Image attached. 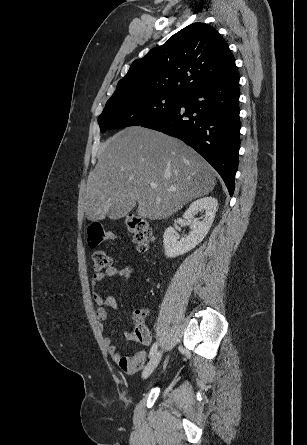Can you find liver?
<instances>
[{"label":"liver","instance_id":"liver-1","mask_svg":"<svg viewBox=\"0 0 307 445\" xmlns=\"http://www.w3.org/2000/svg\"><path fill=\"white\" fill-rule=\"evenodd\" d=\"M89 172L85 212L89 220L108 212L121 218L138 204L142 218H165L205 196L216 184L215 170L183 140L143 126H127L101 142ZM150 182H157L156 188ZM175 188V190H168Z\"/></svg>","mask_w":307,"mask_h":445}]
</instances>
